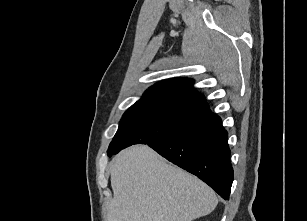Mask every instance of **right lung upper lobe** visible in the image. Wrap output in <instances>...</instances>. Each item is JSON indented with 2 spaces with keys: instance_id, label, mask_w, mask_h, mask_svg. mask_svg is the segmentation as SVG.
<instances>
[{
  "instance_id": "cb5924a9",
  "label": "right lung upper lobe",
  "mask_w": 307,
  "mask_h": 221,
  "mask_svg": "<svg viewBox=\"0 0 307 221\" xmlns=\"http://www.w3.org/2000/svg\"><path fill=\"white\" fill-rule=\"evenodd\" d=\"M192 84L193 80L187 78L164 80L150 87L139 101L180 102L208 108L204 96L190 88Z\"/></svg>"
}]
</instances>
